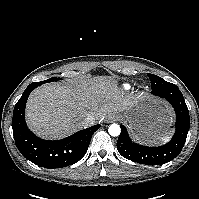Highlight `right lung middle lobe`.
<instances>
[{
	"instance_id": "1",
	"label": "right lung middle lobe",
	"mask_w": 199,
	"mask_h": 199,
	"mask_svg": "<svg viewBox=\"0 0 199 199\" xmlns=\"http://www.w3.org/2000/svg\"><path fill=\"white\" fill-rule=\"evenodd\" d=\"M58 79L56 77H53V78H50V79H47L45 81H42V82H33L32 85L33 87H38L40 85H42L43 83H48V82H53V81H57Z\"/></svg>"
}]
</instances>
